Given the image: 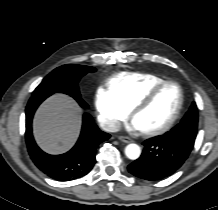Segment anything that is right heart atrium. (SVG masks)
Returning <instances> with one entry per match:
<instances>
[{
  "label": "right heart atrium",
  "instance_id": "d8ad5b80",
  "mask_svg": "<svg viewBox=\"0 0 218 210\" xmlns=\"http://www.w3.org/2000/svg\"><path fill=\"white\" fill-rule=\"evenodd\" d=\"M94 105L98 119L108 131H116L130 115V109L124 105L109 89L99 87L95 93Z\"/></svg>",
  "mask_w": 218,
  "mask_h": 210
}]
</instances>
